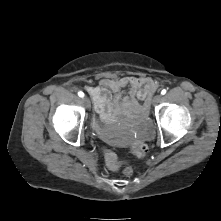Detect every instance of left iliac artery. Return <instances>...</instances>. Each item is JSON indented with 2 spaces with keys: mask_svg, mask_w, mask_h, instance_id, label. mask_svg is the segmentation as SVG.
Instances as JSON below:
<instances>
[{
  "mask_svg": "<svg viewBox=\"0 0 221 221\" xmlns=\"http://www.w3.org/2000/svg\"><path fill=\"white\" fill-rule=\"evenodd\" d=\"M161 94H162V95L166 94V89H163V90L161 91Z\"/></svg>",
  "mask_w": 221,
  "mask_h": 221,
  "instance_id": "44dca946",
  "label": "left iliac artery"
}]
</instances>
